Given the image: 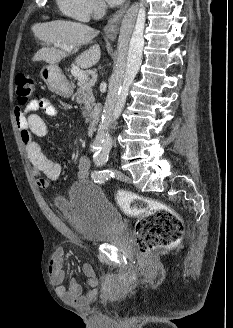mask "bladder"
Instances as JSON below:
<instances>
[{
  "instance_id": "obj_1",
  "label": "bladder",
  "mask_w": 233,
  "mask_h": 328,
  "mask_svg": "<svg viewBox=\"0 0 233 328\" xmlns=\"http://www.w3.org/2000/svg\"><path fill=\"white\" fill-rule=\"evenodd\" d=\"M64 219L91 242H101L123 231L120 212L102 189L88 180L74 182L65 197L56 199Z\"/></svg>"
}]
</instances>
